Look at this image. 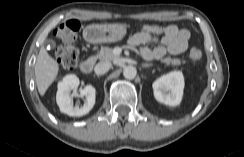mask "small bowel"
<instances>
[{
	"instance_id": "c3829d8e",
	"label": "small bowel",
	"mask_w": 244,
	"mask_h": 157,
	"mask_svg": "<svg viewBox=\"0 0 244 157\" xmlns=\"http://www.w3.org/2000/svg\"><path fill=\"white\" fill-rule=\"evenodd\" d=\"M189 39L190 33L188 30L169 25L159 39L161 46L148 47V44L158 40V36L142 32L133 35L129 40V44L133 47H141L140 55L144 60H159L167 53L171 55L184 53L188 49Z\"/></svg>"
}]
</instances>
